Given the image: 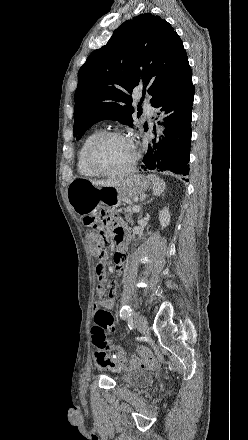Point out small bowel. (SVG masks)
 Wrapping results in <instances>:
<instances>
[{
	"label": "small bowel",
	"instance_id": "1",
	"mask_svg": "<svg viewBox=\"0 0 248 440\" xmlns=\"http://www.w3.org/2000/svg\"><path fill=\"white\" fill-rule=\"evenodd\" d=\"M105 225L108 227V229L111 230L115 240L119 245H125L127 247V238L125 236V227L121 219L117 218L114 215H109L107 219L105 220ZM126 259H124L121 255L115 256V263L117 265L116 269L118 272H122L126 270ZM108 269V261L107 259H98L97 261V275L99 277V283L97 285V293L101 297L99 301L96 302L95 308H103L105 310H110L114 305V300L116 298L117 292L123 293L126 290L125 285L120 284L118 285L117 280L112 279L107 281V286L112 287L107 293L106 290V284L104 283L105 280H107L108 275L105 271ZM107 293V296H106ZM106 296V297H104ZM144 357H132L129 361L130 365L132 366H143L148 364L151 361V357L149 353L143 350ZM97 362V361H96ZM98 366L101 368H105L104 366L100 365L97 362Z\"/></svg>",
	"mask_w": 248,
	"mask_h": 440
}]
</instances>
